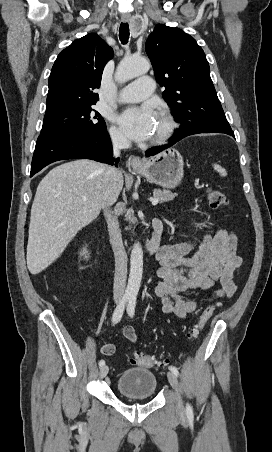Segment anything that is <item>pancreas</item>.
<instances>
[{
  "mask_svg": "<svg viewBox=\"0 0 272 452\" xmlns=\"http://www.w3.org/2000/svg\"><path fill=\"white\" fill-rule=\"evenodd\" d=\"M153 196H154V198L158 199L159 203H164V202L173 200L175 198L176 194L172 193L170 191H167V190L155 189L153 191ZM126 220L130 221L133 224H135V222H136L135 217H127ZM126 229H128V228H126Z\"/></svg>",
  "mask_w": 272,
  "mask_h": 452,
  "instance_id": "obj_1",
  "label": "pancreas"
}]
</instances>
